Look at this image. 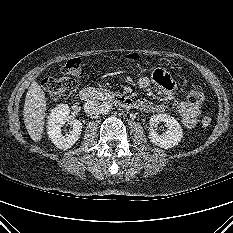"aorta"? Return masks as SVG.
<instances>
[{
	"mask_svg": "<svg viewBox=\"0 0 233 233\" xmlns=\"http://www.w3.org/2000/svg\"><path fill=\"white\" fill-rule=\"evenodd\" d=\"M102 104H103L102 114H108L112 109V105L109 103H102Z\"/></svg>",
	"mask_w": 233,
	"mask_h": 233,
	"instance_id": "762f6f07",
	"label": "aorta"
}]
</instances>
